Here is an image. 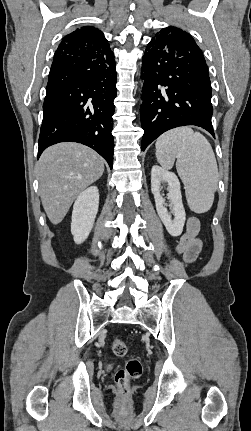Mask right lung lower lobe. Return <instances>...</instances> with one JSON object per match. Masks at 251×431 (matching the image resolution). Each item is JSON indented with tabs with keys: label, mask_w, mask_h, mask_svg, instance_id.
Segmentation results:
<instances>
[{
	"label": "right lung lower lobe",
	"mask_w": 251,
	"mask_h": 431,
	"mask_svg": "<svg viewBox=\"0 0 251 431\" xmlns=\"http://www.w3.org/2000/svg\"><path fill=\"white\" fill-rule=\"evenodd\" d=\"M116 81L114 56L106 58L90 48L75 54L57 50L43 104L38 158L48 146L71 141L93 148L112 168Z\"/></svg>",
	"instance_id": "1"
}]
</instances>
